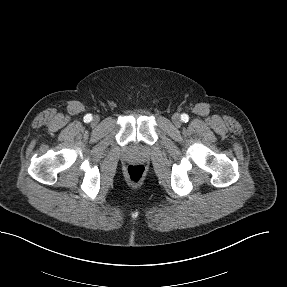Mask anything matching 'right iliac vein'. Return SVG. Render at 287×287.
<instances>
[{"label": "right iliac vein", "mask_w": 287, "mask_h": 287, "mask_svg": "<svg viewBox=\"0 0 287 287\" xmlns=\"http://www.w3.org/2000/svg\"><path fill=\"white\" fill-rule=\"evenodd\" d=\"M99 117L98 116H95L94 118H93V125H96L98 122H99Z\"/></svg>", "instance_id": "right-iliac-vein-1"}]
</instances>
